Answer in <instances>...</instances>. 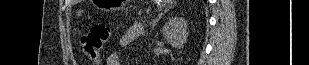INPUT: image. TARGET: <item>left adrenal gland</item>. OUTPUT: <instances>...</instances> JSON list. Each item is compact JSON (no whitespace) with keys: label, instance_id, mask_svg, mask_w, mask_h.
Returning <instances> with one entry per match:
<instances>
[{"label":"left adrenal gland","instance_id":"obj_1","mask_svg":"<svg viewBox=\"0 0 309 65\" xmlns=\"http://www.w3.org/2000/svg\"><path fill=\"white\" fill-rule=\"evenodd\" d=\"M162 15H163V13L161 15H159V17L154 21V24H156V22L161 18Z\"/></svg>","mask_w":309,"mask_h":65}]
</instances>
